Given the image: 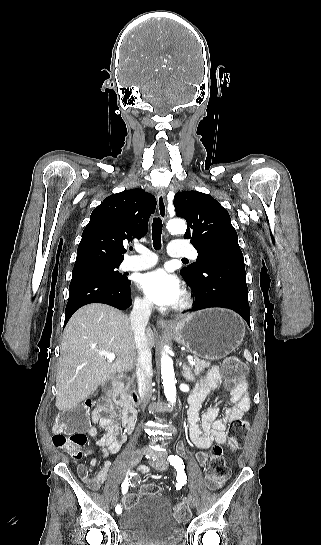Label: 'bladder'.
I'll list each match as a JSON object with an SVG mask.
<instances>
[{
  "label": "bladder",
  "mask_w": 321,
  "mask_h": 545,
  "mask_svg": "<svg viewBox=\"0 0 321 545\" xmlns=\"http://www.w3.org/2000/svg\"><path fill=\"white\" fill-rule=\"evenodd\" d=\"M118 527L127 545H179L184 527L171 512L168 499L148 494L118 515Z\"/></svg>",
  "instance_id": "31cf9c89"
}]
</instances>
